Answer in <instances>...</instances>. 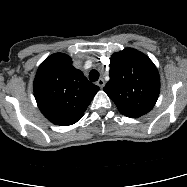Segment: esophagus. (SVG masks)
<instances>
[{
	"instance_id": "obj_1",
	"label": "esophagus",
	"mask_w": 187,
	"mask_h": 187,
	"mask_svg": "<svg viewBox=\"0 0 187 187\" xmlns=\"http://www.w3.org/2000/svg\"><path fill=\"white\" fill-rule=\"evenodd\" d=\"M97 85L100 87V88H103L105 86V81L100 78L98 81H97Z\"/></svg>"
}]
</instances>
